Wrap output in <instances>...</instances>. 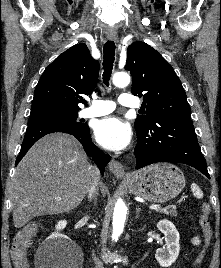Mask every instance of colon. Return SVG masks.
I'll use <instances>...</instances> for the list:
<instances>
[{
	"instance_id": "obj_1",
	"label": "colon",
	"mask_w": 221,
	"mask_h": 268,
	"mask_svg": "<svg viewBox=\"0 0 221 268\" xmlns=\"http://www.w3.org/2000/svg\"><path fill=\"white\" fill-rule=\"evenodd\" d=\"M211 207L209 204L204 203L201 206V215L199 219L200 226L202 228L205 247L211 241L213 236V229L210 219ZM40 225L38 223H29L25 225L19 232L16 242L12 250V258L16 268H30V265L27 261V249L30 244V241L37 235L39 232ZM205 254V249H203L198 256L195 258L192 268H198L203 261Z\"/></svg>"
}]
</instances>
